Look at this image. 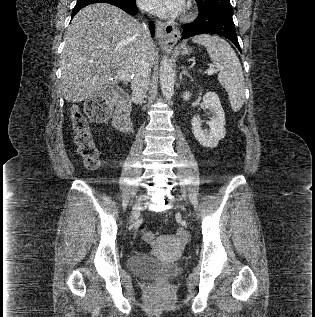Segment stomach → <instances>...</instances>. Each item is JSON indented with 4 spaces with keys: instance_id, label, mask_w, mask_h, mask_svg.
Segmentation results:
<instances>
[{
    "instance_id": "obj_1",
    "label": "stomach",
    "mask_w": 315,
    "mask_h": 317,
    "mask_svg": "<svg viewBox=\"0 0 315 317\" xmlns=\"http://www.w3.org/2000/svg\"><path fill=\"white\" fill-rule=\"evenodd\" d=\"M181 54L182 55H189L190 53H192V48L191 47H187V46H183L181 48Z\"/></svg>"
}]
</instances>
